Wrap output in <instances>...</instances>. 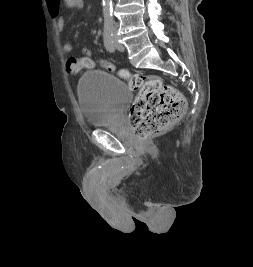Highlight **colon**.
<instances>
[{
    "mask_svg": "<svg viewBox=\"0 0 253 267\" xmlns=\"http://www.w3.org/2000/svg\"><path fill=\"white\" fill-rule=\"evenodd\" d=\"M81 51L83 57H70L67 60V70L71 74L95 66L90 58V49L83 47ZM100 64L109 71H115V67L107 61L101 60ZM118 75L128 82L131 90L138 91V96L129 111V119L139 139L144 140L160 133L184 114L186 109L184 96L159 78L133 74L124 69L119 70Z\"/></svg>",
    "mask_w": 253,
    "mask_h": 267,
    "instance_id": "obj_1",
    "label": "colon"
}]
</instances>
